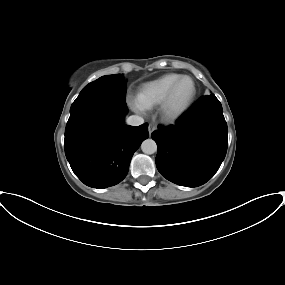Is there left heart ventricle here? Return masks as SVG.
Returning a JSON list of instances; mask_svg holds the SVG:
<instances>
[{
    "instance_id": "b2bd125f",
    "label": "left heart ventricle",
    "mask_w": 285,
    "mask_h": 285,
    "mask_svg": "<svg viewBox=\"0 0 285 285\" xmlns=\"http://www.w3.org/2000/svg\"><path fill=\"white\" fill-rule=\"evenodd\" d=\"M193 93V83L190 79H184L178 85L172 100V107L179 109L183 107L190 99Z\"/></svg>"
}]
</instances>
